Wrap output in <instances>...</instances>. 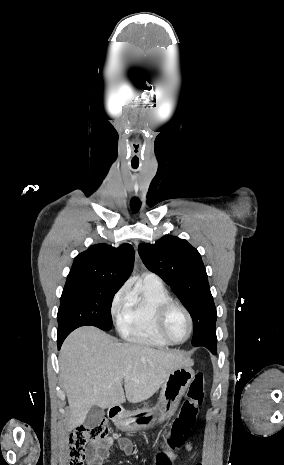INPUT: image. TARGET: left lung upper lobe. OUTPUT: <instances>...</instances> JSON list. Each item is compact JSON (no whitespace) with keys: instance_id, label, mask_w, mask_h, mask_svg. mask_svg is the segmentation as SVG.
I'll return each mask as SVG.
<instances>
[{"instance_id":"left-lung-upper-lobe-1","label":"left lung upper lobe","mask_w":284,"mask_h":465,"mask_svg":"<svg viewBox=\"0 0 284 465\" xmlns=\"http://www.w3.org/2000/svg\"><path fill=\"white\" fill-rule=\"evenodd\" d=\"M138 252L145 266L173 289L191 314L192 345L215 344L217 312L199 252L175 236H164L155 244L141 243Z\"/></svg>"}]
</instances>
